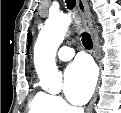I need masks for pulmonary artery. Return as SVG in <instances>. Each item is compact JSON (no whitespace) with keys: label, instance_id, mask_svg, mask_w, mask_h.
Wrapping results in <instances>:
<instances>
[{"label":"pulmonary artery","instance_id":"e3ab8cb5","mask_svg":"<svg viewBox=\"0 0 121 113\" xmlns=\"http://www.w3.org/2000/svg\"><path fill=\"white\" fill-rule=\"evenodd\" d=\"M75 55V50L70 46H62L57 54V57L60 61H69Z\"/></svg>","mask_w":121,"mask_h":113}]
</instances>
